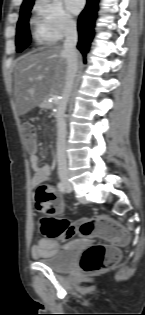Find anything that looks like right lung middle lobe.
Wrapping results in <instances>:
<instances>
[{
    "mask_svg": "<svg viewBox=\"0 0 145 315\" xmlns=\"http://www.w3.org/2000/svg\"><path fill=\"white\" fill-rule=\"evenodd\" d=\"M33 3L22 6L16 32V50L23 51L30 43L29 16Z\"/></svg>",
    "mask_w": 145,
    "mask_h": 315,
    "instance_id": "dd1d6c3e",
    "label": "right lung middle lobe"
}]
</instances>
